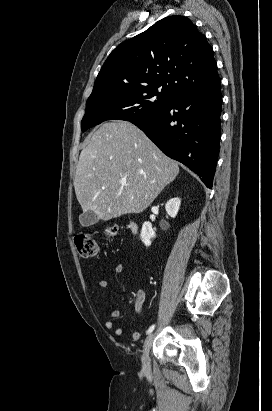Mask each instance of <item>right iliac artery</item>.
I'll list each match as a JSON object with an SVG mask.
<instances>
[{
  "mask_svg": "<svg viewBox=\"0 0 272 411\" xmlns=\"http://www.w3.org/2000/svg\"><path fill=\"white\" fill-rule=\"evenodd\" d=\"M155 328V325H152L149 327V329L147 330V334H150Z\"/></svg>",
  "mask_w": 272,
  "mask_h": 411,
  "instance_id": "right-iliac-artery-1",
  "label": "right iliac artery"
}]
</instances>
